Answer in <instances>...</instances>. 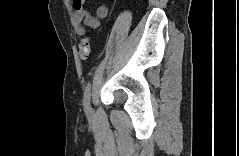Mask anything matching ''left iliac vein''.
Wrapping results in <instances>:
<instances>
[{
	"label": "left iliac vein",
	"instance_id": "4c4485c4",
	"mask_svg": "<svg viewBox=\"0 0 239 156\" xmlns=\"http://www.w3.org/2000/svg\"><path fill=\"white\" fill-rule=\"evenodd\" d=\"M87 108L90 109V105H87Z\"/></svg>",
	"mask_w": 239,
	"mask_h": 156
}]
</instances>
